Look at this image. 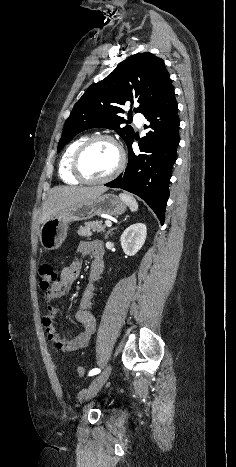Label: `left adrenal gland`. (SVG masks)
Returning <instances> with one entry per match:
<instances>
[{
    "label": "left adrenal gland",
    "instance_id": "left-adrenal-gland-1",
    "mask_svg": "<svg viewBox=\"0 0 236 467\" xmlns=\"http://www.w3.org/2000/svg\"><path fill=\"white\" fill-rule=\"evenodd\" d=\"M126 220H127V217H126L123 221H126ZM116 229H117V227L111 228V229L106 233L105 239H108V235H109L113 230H116Z\"/></svg>",
    "mask_w": 236,
    "mask_h": 467
}]
</instances>
